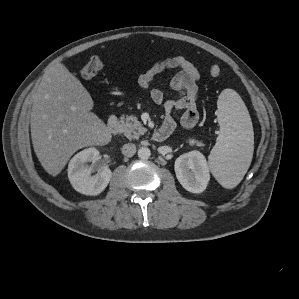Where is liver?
Here are the masks:
<instances>
[{"instance_id": "6515ba94", "label": "liver", "mask_w": 299, "mask_h": 299, "mask_svg": "<svg viewBox=\"0 0 299 299\" xmlns=\"http://www.w3.org/2000/svg\"><path fill=\"white\" fill-rule=\"evenodd\" d=\"M93 105L89 92L63 64L44 74L33 97L30 127L35 154L51 176L77 150L111 141L109 128L91 112Z\"/></svg>"}]
</instances>
